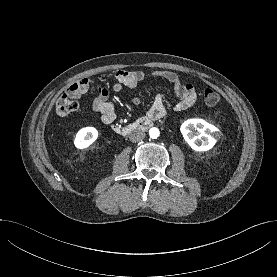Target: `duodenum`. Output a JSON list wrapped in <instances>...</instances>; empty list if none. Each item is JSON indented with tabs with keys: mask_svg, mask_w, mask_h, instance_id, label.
Masks as SVG:
<instances>
[{
	"mask_svg": "<svg viewBox=\"0 0 277 277\" xmlns=\"http://www.w3.org/2000/svg\"><path fill=\"white\" fill-rule=\"evenodd\" d=\"M153 120L150 117H144L127 125H113V130L120 135H128L136 131H146L152 127Z\"/></svg>",
	"mask_w": 277,
	"mask_h": 277,
	"instance_id": "1",
	"label": "duodenum"
}]
</instances>
